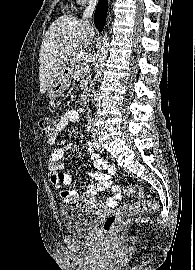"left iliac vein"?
<instances>
[{"label":"left iliac vein","instance_id":"4c4485c4","mask_svg":"<svg viewBox=\"0 0 195 270\" xmlns=\"http://www.w3.org/2000/svg\"><path fill=\"white\" fill-rule=\"evenodd\" d=\"M92 140H93V145L94 147L100 152L102 153L104 151V148L101 146L99 140H98V135H97V131L94 130L93 131V135H92Z\"/></svg>","mask_w":195,"mask_h":270}]
</instances>
